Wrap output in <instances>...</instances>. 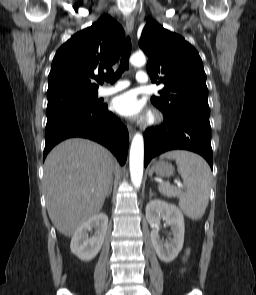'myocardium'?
<instances>
[{
    "mask_svg": "<svg viewBox=\"0 0 256 295\" xmlns=\"http://www.w3.org/2000/svg\"><path fill=\"white\" fill-rule=\"evenodd\" d=\"M158 119L157 115H152L149 119V123H154Z\"/></svg>",
    "mask_w": 256,
    "mask_h": 295,
    "instance_id": "f54148a6",
    "label": "myocardium"
}]
</instances>
